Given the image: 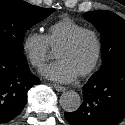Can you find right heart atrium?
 Returning <instances> with one entry per match:
<instances>
[{"instance_id": "1", "label": "right heart atrium", "mask_w": 125, "mask_h": 125, "mask_svg": "<svg viewBox=\"0 0 125 125\" xmlns=\"http://www.w3.org/2000/svg\"><path fill=\"white\" fill-rule=\"evenodd\" d=\"M21 49L29 64L36 70L43 68L51 54L46 36L37 32H29L24 36Z\"/></svg>"}]
</instances>
